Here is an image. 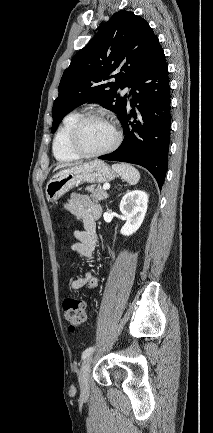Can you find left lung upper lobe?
Segmentation results:
<instances>
[{"instance_id":"1","label":"left lung upper lobe","mask_w":213,"mask_h":433,"mask_svg":"<svg viewBox=\"0 0 213 433\" xmlns=\"http://www.w3.org/2000/svg\"><path fill=\"white\" fill-rule=\"evenodd\" d=\"M159 47L146 20L133 12L115 13L64 71L53 104L51 132L67 113L87 102L100 103L120 120L127 99L120 97L117 90L132 87ZM112 72L116 73L111 76L115 82L108 83Z\"/></svg>"}]
</instances>
